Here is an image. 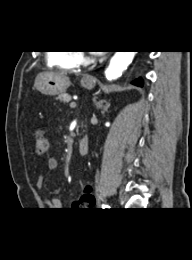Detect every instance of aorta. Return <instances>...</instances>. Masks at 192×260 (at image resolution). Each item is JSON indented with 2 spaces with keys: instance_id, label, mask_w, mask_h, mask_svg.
Wrapping results in <instances>:
<instances>
[{
  "instance_id": "obj_1",
  "label": "aorta",
  "mask_w": 192,
  "mask_h": 260,
  "mask_svg": "<svg viewBox=\"0 0 192 260\" xmlns=\"http://www.w3.org/2000/svg\"><path fill=\"white\" fill-rule=\"evenodd\" d=\"M135 54L136 51H117L105 70L106 78L109 81L119 78L123 71L130 65Z\"/></svg>"
}]
</instances>
